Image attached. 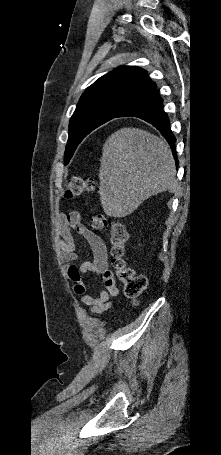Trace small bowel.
<instances>
[{"instance_id": "c3829d8e", "label": "small bowel", "mask_w": 221, "mask_h": 455, "mask_svg": "<svg viewBox=\"0 0 221 455\" xmlns=\"http://www.w3.org/2000/svg\"><path fill=\"white\" fill-rule=\"evenodd\" d=\"M84 237L91 246L93 253L92 261H84L75 264L77 258L75 252V241L73 232ZM60 257L64 262L69 263L68 273L74 281V292L80 295V301L87 306L91 312H99L110 306V298L117 296L119 289L113 275L109 271L108 248L105 242L95 233L86 228L80 219L79 214L69 213L58 218ZM93 273L102 279L104 288L100 290L97 297L85 294L86 286L81 280V274Z\"/></svg>"}]
</instances>
